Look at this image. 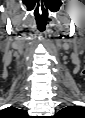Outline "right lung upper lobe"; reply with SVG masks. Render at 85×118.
Instances as JSON below:
<instances>
[{
	"instance_id": "obj_1",
	"label": "right lung upper lobe",
	"mask_w": 85,
	"mask_h": 118,
	"mask_svg": "<svg viewBox=\"0 0 85 118\" xmlns=\"http://www.w3.org/2000/svg\"><path fill=\"white\" fill-rule=\"evenodd\" d=\"M7 111H9V112H11V113H23V112H24L23 110H19V109H16V108H14V107L8 108Z\"/></svg>"
}]
</instances>
